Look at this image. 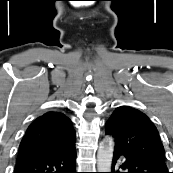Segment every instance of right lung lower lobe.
<instances>
[{
	"label": "right lung lower lobe",
	"instance_id": "98d812e1",
	"mask_svg": "<svg viewBox=\"0 0 173 173\" xmlns=\"http://www.w3.org/2000/svg\"><path fill=\"white\" fill-rule=\"evenodd\" d=\"M75 146L60 152L16 161L14 173H76Z\"/></svg>",
	"mask_w": 173,
	"mask_h": 173
}]
</instances>
